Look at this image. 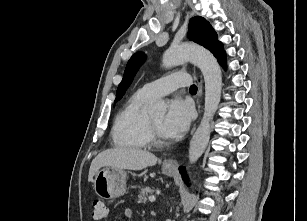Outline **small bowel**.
I'll use <instances>...</instances> for the list:
<instances>
[{
    "label": "small bowel",
    "mask_w": 307,
    "mask_h": 221,
    "mask_svg": "<svg viewBox=\"0 0 307 221\" xmlns=\"http://www.w3.org/2000/svg\"><path fill=\"white\" fill-rule=\"evenodd\" d=\"M125 216L127 217V219L131 220L132 214H131V211L129 209L125 210Z\"/></svg>",
    "instance_id": "1"
}]
</instances>
